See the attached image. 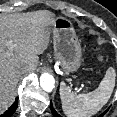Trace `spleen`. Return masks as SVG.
Masks as SVG:
<instances>
[{
	"instance_id": "3e777b00",
	"label": "spleen",
	"mask_w": 117,
	"mask_h": 117,
	"mask_svg": "<svg viewBox=\"0 0 117 117\" xmlns=\"http://www.w3.org/2000/svg\"><path fill=\"white\" fill-rule=\"evenodd\" d=\"M115 70L106 71L99 87L90 93L75 95L64 83L60 85V99L67 117H91L108 102L115 87Z\"/></svg>"
}]
</instances>
